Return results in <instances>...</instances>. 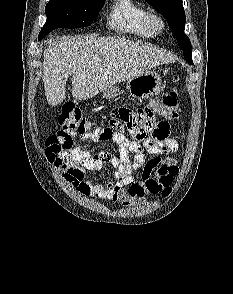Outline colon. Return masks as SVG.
I'll list each match as a JSON object with an SVG mask.
<instances>
[{
    "instance_id": "5ec220e1",
    "label": "colon",
    "mask_w": 233,
    "mask_h": 294,
    "mask_svg": "<svg viewBox=\"0 0 233 294\" xmlns=\"http://www.w3.org/2000/svg\"><path fill=\"white\" fill-rule=\"evenodd\" d=\"M175 79H177V77H175ZM155 108L156 110H161L160 116L164 117V120H174L178 118L181 109L177 90L175 88L170 90ZM114 112L117 113L116 110ZM110 121H115V118L113 117ZM58 124L60 130L54 135L52 144L46 155L48 159H69L75 152L74 138L77 135L87 136V134L92 133V124L77 106L70 103H66L62 106L58 114ZM96 129H101L103 132H121L123 130L108 129L107 123H102ZM169 192L170 189H164L162 191V196H167Z\"/></svg>"
}]
</instances>
